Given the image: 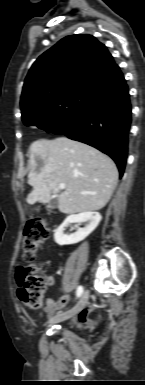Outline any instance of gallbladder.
<instances>
[{
    "instance_id": "1",
    "label": "gallbladder",
    "mask_w": 145,
    "mask_h": 385,
    "mask_svg": "<svg viewBox=\"0 0 145 385\" xmlns=\"http://www.w3.org/2000/svg\"><path fill=\"white\" fill-rule=\"evenodd\" d=\"M57 206H58V200H57V198L51 199L50 202H49V204H48V207H49V208H52V209H55V208H57Z\"/></svg>"
}]
</instances>
